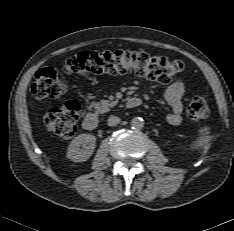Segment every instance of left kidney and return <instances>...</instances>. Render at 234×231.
<instances>
[{"mask_svg": "<svg viewBox=\"0 0 234 231\" xmlns=\"http://www.w3.org/2000/svg\"><path fill=\"white\" fill-rule=\"evenodd\" d=\"M199 135L198 139L193 142V146L194 148H201L207 152L211 145L210 142L213 139V136L210 135V128L203 127L199 129Z\"/></svg>", "mask_w": 234, "mask_h": 231, "instance_id": "obj_1", "label": "left kidney"}]
</instances>
